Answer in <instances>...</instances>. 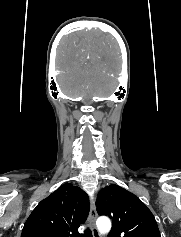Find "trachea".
Wrapping results in <instances>:
<instances>
[{
	"label": "trachea",
	"mask_w": 181,
	"mask_h": 237,
	"mask_svg": "<svg viewBox=\"0 0 181 237\" xmlns=\"http://www.w3.org/2000/svg\"><path fill=\"white\" fill-rule=\"evenodd\" d=\"M83 237H93V236H92V233H91V231H90L89 228H87V229L85 230Z\"/></svg>",
	"instance_id": "obj_1"
}]
</instances>
